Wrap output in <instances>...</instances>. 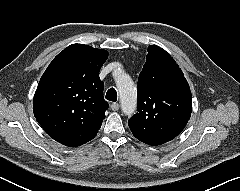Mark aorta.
<instances>
[{
    "label": "aorta",
    "instance_id": "1",
    "mask_svg": "<svg viewBox=\"0 0 240 191\" xmlns=\"http://www.w3.org/2000/svg\"><path fill=\"white\" fill-rule=\"evenodd\" d=\"M116 85L120 95L121 109L125 115L131 116L137 107V92L131 78L121 74L116 78Z\"/></svg>",
    "mask_w": 240,
    "mask_h": 191
}]
</instances>
